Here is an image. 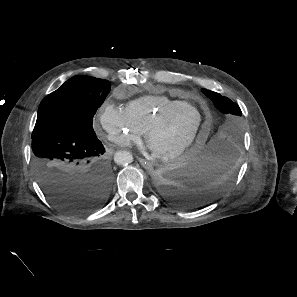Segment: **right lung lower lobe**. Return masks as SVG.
<instances>
[{
    "instance_id": "obj_1",
    "label": "right lung lower lobe",
    "mask_w": 297,
    "mask_h": 297,
    "mask_svg": "<svg viewBox=\"0 0 297 297\" xmlns=\"http://www.w3.org/2000/svg\"><path fill=\"white\" fill-rule=\"evenodd\" d=\"M31 138L38 182L58 209L84 214L105 204L113 174L95 132L56 127Z\"/></svg>"
}]
</instances>
